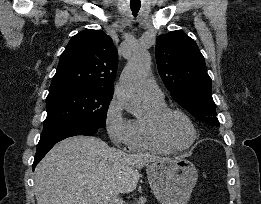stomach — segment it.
<instances>
[{
  "label": "stomach",
  "mask_w": 261,
  "mask_h": 204,
  "mask_svg": "<svg viewBox=\"0 0 261 204\" xmlns=\"http://www.w3.org/2000/svg\"><path fill=\"white\" fill-rule=\"evenodd\" d=\"M152 192L160 204H187L198 179L196 167L184 157L147 166Z\"/></svg>",
  "instance_id": "obj_1"
}]
</instances>
